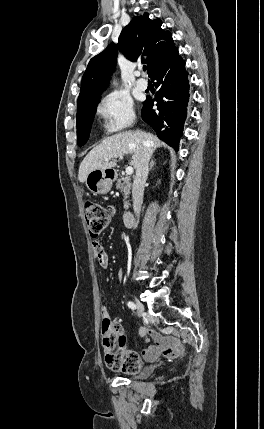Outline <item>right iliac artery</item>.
Instances as JSON below:
<instances>
[{"label": "right iliac artery", "mask_w": 264, "mask_h": 429, "mask_svg": "<svg viewBox=\"0 0 264 429\" xmlns=\"http://www.w3.org/2000/svg\"><path fill=\"white\" fill-rule=\"evenodd\" d=\"M127 306L129 307V308H131L132 310H135L136 309V305L133 303V302H128L127 303Z\"/></svg>", "instance_id": "right-iliac-artery-1"}]
</instances>
